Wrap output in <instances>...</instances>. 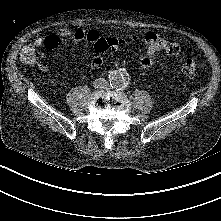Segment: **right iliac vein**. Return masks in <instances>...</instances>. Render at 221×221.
<instances>
[{
  "label": "right iliac vein",
  "instance_id": "63e3f726",
  "mask_svg": "<svg viewBox=\"0 0 221 221\" xmlns=\"http://www.w3.org/2000/svg\"><path fill=\"white\" fill-rule=\"evenodd\" d=\"M94 86H95L96 88H99V87L102 86V83H101V82H96V83L94 84Z\"/></svg>",
  "mask_w": 221,
  "mask_h": 221
}]
</instances>
